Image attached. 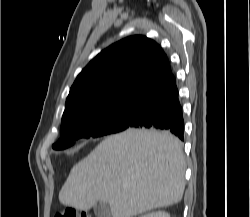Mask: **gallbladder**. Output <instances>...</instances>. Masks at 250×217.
<instances>
[{"instance_id":"bac80fb5","label":"gallbladder","mask_w":250,"mask_h":217,"mask_svg":"<svg viewBox=\"0 0 250 217\" xmlns=\"http://www.w3.org/2000/svg\"><path fill=\"white\" fill-rule=\"evenodd\" d=\"M96 217H112L110 206L107 203L99 202L94 207Z\"/></svg>"}]
</instances>
